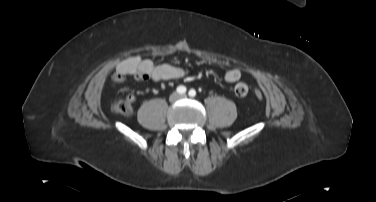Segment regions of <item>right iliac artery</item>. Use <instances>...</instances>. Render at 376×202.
I'll use <instances>...</instances> for the list:
<instances>
[{"mask_svg": "<svg viewBox=\"0 0 376 202\" xmlns=\"http://www.w3.org/2000/svg\"><path fill=\"white\" fill-rule=\"evenodd\" d=\"M186 91H187V89H186L185 86L180 85V86L177 87V92H178L179 94H185Z\"/></svg>", "mask_w": 376, "mask_h": 202, "instance_id": "right-iliac-artery-1", "label": "right iliac artery"}]
</instances>
